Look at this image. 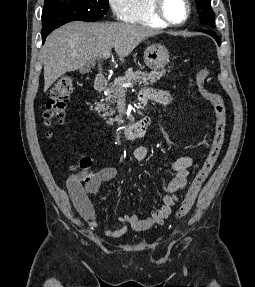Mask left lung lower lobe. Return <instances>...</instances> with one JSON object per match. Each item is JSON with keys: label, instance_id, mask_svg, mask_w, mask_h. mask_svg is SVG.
I'll use <instances>...</instances> for the list:
<instances>
[{"label": "left lung lower lobe", "instance_id": "obj_1", "mask_svg": "<svg viewBox=\"0 0 255 287\" xmlns=\"http://www.w3.org/2000/svg\"><path fill=\"white\" fill-rule=\"evenodd\" d=\"M199 31L207 33L210 36L214 37L215 40L217 41L218 45H220V40H219V37L216 35V33H214L213 31H209V30H199Z\"/></svg>", "mask_w": 255, "mask_h": 287}]
</instances>
